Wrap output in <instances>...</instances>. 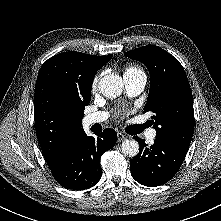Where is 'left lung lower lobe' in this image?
<instances>
[{
  "label": "left lung lower lobe",
  "mask_w": 221,
  "mask_h": 221,
  "mask_svg": "<svg viewBox=\"0 0 221 221\" xmlns=\"http://www.w3.org/2000/svg\"><path fill=\"white\" fill-rule=\"evenodd\" d=\"M138 155L130 160L132 177L140 184L155 187L168 182L181 167L187 154V147L156 138L150 147L138 136Z\"/></svg>",
  "instance_id": "0a47b994"
}]
</instances>
